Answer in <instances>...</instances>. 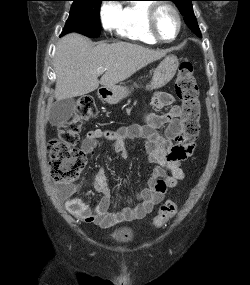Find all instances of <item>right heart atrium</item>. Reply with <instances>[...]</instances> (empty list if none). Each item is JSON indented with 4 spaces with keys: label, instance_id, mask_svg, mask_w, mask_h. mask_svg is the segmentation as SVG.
Masks as SVG:
<instances>
[{
    "label": "right heart atrium",
    "instance_id": "obj_1",
    "mask_svg": "<svg viewBox=\"0 0 250 285\" xmlns=\"http://www.w3.org/2000/svg\"><path fill=\"white\" fill-rule=\"evenodd\" d=\"M121 7L117 2H104L100 9L102 26L107 31L117 29L120 19Z\"/></svg>",
    "mask_w": 250,
    "mask_h": 285
}]
</instances>
